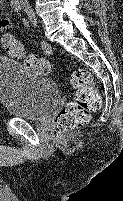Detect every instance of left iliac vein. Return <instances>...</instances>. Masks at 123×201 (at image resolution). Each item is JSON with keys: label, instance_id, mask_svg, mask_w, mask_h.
I'll use <instances>...</instances> for the list:
<instances>
[{"label": "left iliac vein", "instance_id": "4c4485c4", "mask_svg": "<svg viewBox=\"0 0 123 201\" xmlns=\"http://www.w3.org/2000/svg\"><path fill=\"white\" fill-rule=\"evenodd\" d=\"M28 15H29L30 22H31L33 25H36L35 14H34L33 12H28Z\"/></svg>", "mask_w": 123, "mask_h": 201}]
</instances>
